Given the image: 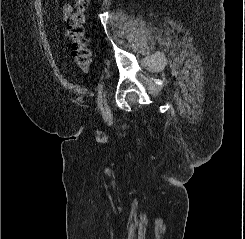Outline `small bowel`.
Here are the masks:
<instances>
[{
	"instance_id": "obj_1",
	"label": "small bowel",
	"mask_w": 245,
	"mask_h": 239,
	"mask_svg": "<svg viewBox=\"0 0 245 239\" xmlns=\"http://www.w3.org/2000/svg\"><path fill=\"white\" fill-rule=\"evenodd\" d=\"M64 16L65 18H67V16L70 14V12L72 11V7L69 4H66L64 6Z\"/></svg>"
}]
</instances>
